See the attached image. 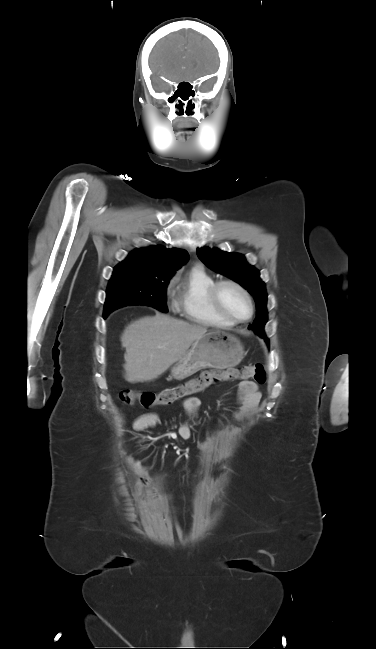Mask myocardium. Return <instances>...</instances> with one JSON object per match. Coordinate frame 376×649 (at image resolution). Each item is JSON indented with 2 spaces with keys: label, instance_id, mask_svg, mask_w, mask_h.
I'll list each match as a JSON object with an SVG mask.
<instances>
[{
  "label": "myocardium",
  "instance_id": "f54148a6",
  "mask_svg": "<svg viewBox=\"0 0 376 649\" xmlns=\"http://www.w3.org/2000/svg\"><path fill=\"white\" fill-rule=\"evenodd\" d=\"M225 286H231V287L235 288L236 290H238L244 296V298L246 299V301H247V303L249 305V314H248L247 317H245V318H237V317L233 316L232 314H230L228 312V310L226 309V307H225V305H224V303L222 301V297H221V290ZM210 295H211V299H212L215 307L219 311V313L224 318H226L227 320H229L230 322H232L234 324L243 323V322H246V321L250 320L253 313H254V302H253V299L251 297V294L249 293V291L242 284H240L239 282H237V281H235L233 279H222V280L216 281L215 284L211 288Z\"/></svg>",
  "mask_w": 376,
  "mask_h": 649
}]
</instances>
